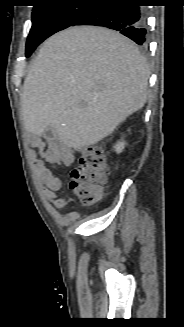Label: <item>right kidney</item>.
<instances>
[{"mask_svg": "<svg viewBox=\"0 0 184 327\" xmlns=\"http://www.w3.org/2000/svg\"><path fill=\"white\" fill-rule=\"evenodd\" d=\"M126 143L124 141H119L116 143V145L114 146L115 151L117 153H121L125 147Z\"/></svg>", "mask_w": 184, "mask_h": 327, "instance_id": "obj_1", "label": "right kidney"}]
</instances>
